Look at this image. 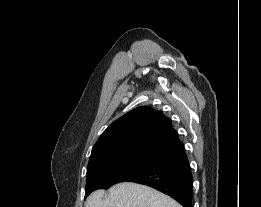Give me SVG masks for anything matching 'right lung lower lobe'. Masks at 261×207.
I'll use <instances>...</instances> for the list:
<instances>
[{"label": "right lung lower lobe", "instance_id": "obj_1", "mask_svg": "<svg viewBox=\"0 0 261 207\" xmlns=\"http://www.w3.org/2000/svg\"><path fill=\"white\" fill-rule=\"evenodd\" d=\"M125 181L153 187L183 207H192L193 180L185 150L158 161Z\"/></svg>", "mask_w": 261, "mask_h": 207}]
</instances>
